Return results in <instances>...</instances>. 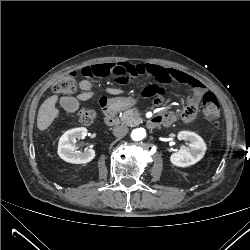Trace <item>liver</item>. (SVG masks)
<instances>
[{
	"label": "liver",
	"mask_w": 250,
	"mask_h": 250,
	"mask_svg": "<svg viewBox=\"0 0 250 250\" xmlns=\"http://www.w3.org/2000/svg\"><path fill=\"white\" fill-rule=\"evenodd\" d=\"M106 91L114 95L124 93L123 90L115 89V88H107ZM93 95H94L93 92H84V93L79 94L77 98L79 100L85 101V100H89L90 98H92ZM64 98H67V97H63L61 98V100ZM68 99L77 101L76 98H68ZM56 102H57V97L52 96L48 98L40 107L38 116H37V127L39 131L46 130L52 124L54 119L59 116V110L55 107Z\"/></svg>",
	"instance_id": "6515ba94"
}]
</instances>
